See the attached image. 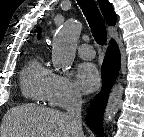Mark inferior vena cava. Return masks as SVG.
Segmentation results:
<instances>
[{"instance_id": "inferior-vena-cava-1", "label": "inferior vena cava", "mask_w": 144, "mask_h": 137, "mask_svg": "<svg viewBox=\"0 0 144 137\" xmlns=\"http://www.w3.org/2000/svg\"><path fill=\"white\" fill-rule=\"evenodd\" d=\"M82 99L79 93L73 92L67 105V114L72 120L73 127L78 131L79 137H83L82 119H81Z\"/></svg>"}]
</instances>
